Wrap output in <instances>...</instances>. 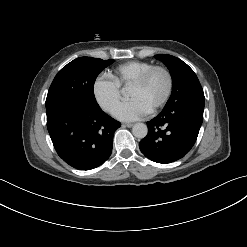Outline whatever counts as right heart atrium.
I'll return each mask as SVG.
<instances>
[{
  "instance_id": "d8ad5b80",
  "label": "right heart atrium",
  "mask_w": 247,
  "mask_h": 247,
  "mask_svg": "<svg viewBox=\"0 0 247 247\" xmlns=\"http://www.w3.org/2000/svg\"><path fill=\"white\" fill-rule=\"evenodd\" d=\"M93 95L105 112L113 113L120 101V86L110 76L101 75L93 83Z\"/></svg>"
}]
</instances>
